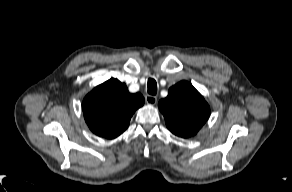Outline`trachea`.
<instances>
[{"label": "trachea", "instance_id": "1", "mask_svg": "<svg viewBox=\"0 0 292 192\" xmlns=\"http://www.w3.org/2000/svg\"><path fill=\"white\" fill-rule=\"evenodd\" d=\"M147 86H148V93L150 95H156V93H157V83H156V81L154 79H152V78L148 79Z\"/></svg>", "mask_w": 292, "mask_h": 192}]
</instances>
